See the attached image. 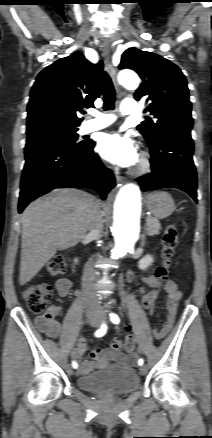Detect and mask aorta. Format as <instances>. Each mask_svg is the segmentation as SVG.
Instances as JSON below:
<instances>
[{"label":"aorta","mask_w":212,"mask_h":438,"mask_svg":"<svg viewBox=\"0 0 212 438\" xmlns=\"http://www.w3.org/2000/svg\"><path fill=\"white\" fill-rule=\"evenodd\" d=\"M119 83L128 89L139 86V77L132 71H122L118 76ZM113 223L111 231L115 239V247L110 259L125 257L139 239L141 230V196L138 186L132 183L122 186L113 198Z\"/></svg>","instance_id":"1"}]
</instances>
